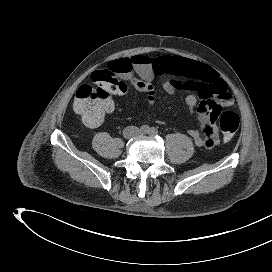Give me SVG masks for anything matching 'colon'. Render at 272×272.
Returning a JSON list of instances; mask_svg holds the SVG:
<instances>
[{
  "mask_svg": "<svg viewBox=\"0 0 272 272\" xmlns=\"http://www.w3.org/2000/svg\"><path fill=\"white\" fill-rule=\"evenodd\" d=\"M93 85H82L76 92L73 108L89 127H98L115 95H123L126 85L111 68L93 72ZM219 125L225 140L233 138L240 125L237 113L220 108Z\"/></svg>",
  "mask_w": 272,
  "mask_h": 272,
  "instance_id": "5ec220e1",
  "label": "colon"
}]
</instances>
